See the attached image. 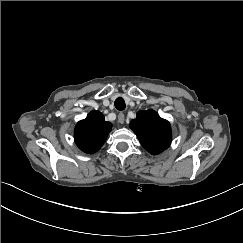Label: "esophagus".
Masks as SVG:
<instances>
[{
  "label": "esophagus",
  "instance_id": "esophagus-1",
  "mask_svg": "<svg viewBox=\"0 0 243 243\" xmlns=\"http://www.w3.org/2000/svg\"><path fill=\"white\" fill-rule=\"evenodd\" d=\"M118 121L120 124H123L125 122V115L123 113H119Z\"/></svg>",
  "mask_w": 243,
  "mask_h": 243
}]
</instances>
